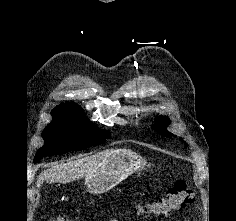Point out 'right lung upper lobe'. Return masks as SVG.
<instances>
[{
	"mask_svg": "<svg viewBox=\"0 0 236 221\" xmlns=\"http://www.w3.org/2000/svg\"><path fill=\"white\" fill-rule=\"evenodd\" d=\"M57 107L70 108V109H74V110H78V111L82 112L81 108L77 104H75V103L61 104V105H59Z\"/></svg>",
	"mask_w": 236,
	"mask_h": 221,
	"instance_id": "right-lung-upper-lobe-1",
	"label": "right lung upper lobe"
}]
</instances>
